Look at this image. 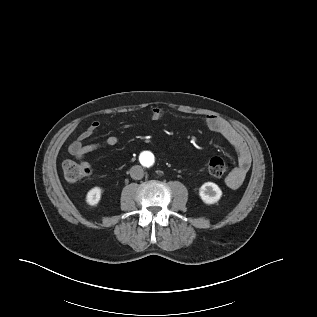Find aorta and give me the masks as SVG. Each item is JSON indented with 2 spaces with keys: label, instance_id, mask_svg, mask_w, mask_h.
I'll list each match as a JSON object with an SVG mask.
<instances>
[{
  "label": "aorta",
  "instance_id": "obj_1",
  "mask_svg": "<svg viewBox=\"0 0 317 317\" xmlns=\"http://www.w3.org/2000/svg\"><path fill=\"white\" fill-rule=\"evenodd\" d=\"M140 161L147 168L153 167V165H154V158L151 154L141 155Z\"/></svg>",
  "mask_w": 317,
  "mask_h": 317
}]
</instances>
